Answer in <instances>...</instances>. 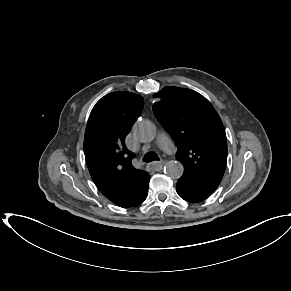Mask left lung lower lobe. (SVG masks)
I'll return each instance as SVG.
<instances>
[{
	"mask_svg": "<svg viewBox=\"0 0 291 291\" xmlns=\"http://www.w3.org/2000/svg\"><path fill=\"white\" fill-rule=\"evenodd\" d=\"M176 191L182 199L191 203L201 202L210 196L208 194L198 192L180 181L176 184Z\"/></svg>",
	"mask_w": 291,
	"mask_h": 291,
	"instance_id": "left-lung-lower-lobe-1",
	"label": "left lung lower lobe"
}]
</instances>
